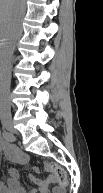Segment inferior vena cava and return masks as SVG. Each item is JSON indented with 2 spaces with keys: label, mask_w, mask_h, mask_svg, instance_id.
<instances>
[{
  "label": "inferior vena cava",
  "mask_w": 103,
  "mask_h": 193,
  "mask_svg": "<svg viewBox=\"0 0 103 193\" xmlns=\"http://www.w3.org/2000/svg\"><path fill=\"white\" fill-rule=\"evenodd\" d=\"M23 5V0H21ZM22 9V8H21ZM20 33V19L15 16L7 36L1 43L0 51V116L2 118L11 117L10 106V81H11V63L15 43Z\"/></svg>",
  "instance_id": "1"
}]
</instances>
